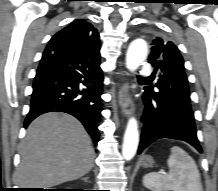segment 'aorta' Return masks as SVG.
Masks as SVG:
<instances>
[{
    "label": "aorta",
    "mask_w": 218,
    "mask_h": 191,
    "mask_svg": "<svg viewBox=\"0 0 218 191\" xmlns=\"http://www.w3.org/2000/svg\"><path fill=\"white\" fill-rule=\"evenodd\" d=\"M148 53L147 43L142 39H136L131 42L126 53V67L134 72L144 61ZM139 143L138 123L134 117H131L127 123L124 134L122 155L125 160H131L136 154Z\"/></svg>",
    "instance_id": "1"
}]
</instances>
